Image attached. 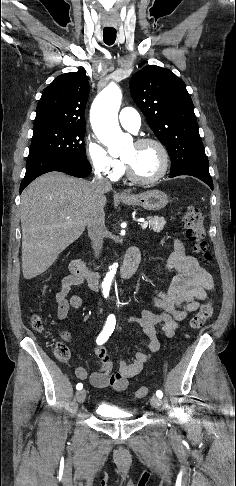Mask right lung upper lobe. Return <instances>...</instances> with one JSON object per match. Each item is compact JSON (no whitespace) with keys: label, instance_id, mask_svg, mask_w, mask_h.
I'll list each match as a JSON object with an SVG mask.
<instances>
[{"label":"right lung upper lobe","instance_id":"right-lung-upper-lobe-1","mask_svg":"<svg viewBox=\"0 0 236 486\" xmlns=\"http://www.w3.org/2000/svg\"><path fill=\"white\" fill-rule=\"evenodd\" d=\"M88 94L89 83L83 71L58 76L43 90L34 127L85 128L84 111Z\"/></svg>","mask_w":236,"mask_h":486}]
</instances>
